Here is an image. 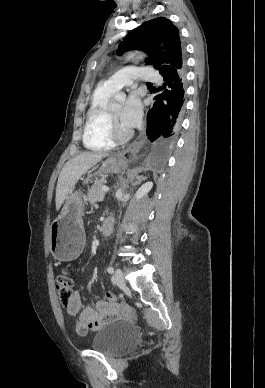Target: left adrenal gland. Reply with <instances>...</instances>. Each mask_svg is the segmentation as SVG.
I'll list each match as a JSON object with an SVG mask.
<instances>
[{"label": "left adrenal gland", "instance_id": "1", "mask_svg": "<svg viewBox=\"0 0 265 388\" xmlns=\"http://www.w3.org/2000/svg\"><path fill=\"white\" fill-rule=\"evenodd\" d=\"M142 180H147V178H143V176H139V178H137V182H135L134 186H136V184H140V182H142Z\"/></svg>", "mask_w": 265, "mask_h": 388}]
</instances>
